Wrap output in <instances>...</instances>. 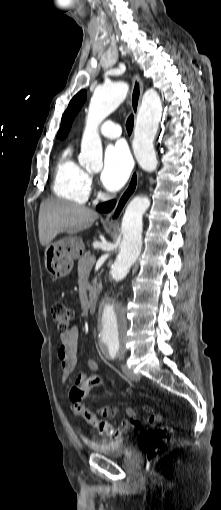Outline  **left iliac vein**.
<instances>
[{
  "label": "left iliac vein",
  "instance_id": "left-iliac-vein-1",
  "mask_svg": "<svg viewBox=\"0 0 221 510\" xmlns=\"http://www.w3.org/2000/svg\"><path fill=\"white\" fill-rule=\"evenodd\" d=\"M123 354H120V357H122ZM122 371L123 373L126 375V377L128 379H130L131 381H139L140 379V376L138 374H135L126 364H123L122 365Z\"/></svg>",
  "mask_w": 221,
  "mask_h": 510
}]
</instances>
